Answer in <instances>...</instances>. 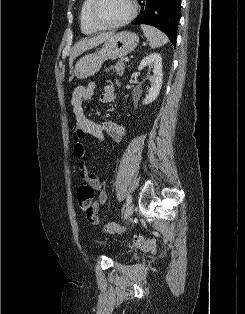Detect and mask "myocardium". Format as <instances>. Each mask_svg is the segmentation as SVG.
Returning <instances> with one entry per match:
<instances>
[{
    "instance_id": "obj_1",
    "label": "myocardium",
    "mask_w": 245,
    "mask_h": 314,
    "mask_svg": "<svg viewBox=\"0 0 245 314\" xmlns=\"http://www.w3.org/2000/svg\"><path fill=\"white\" fill-rule=\"evenodd\" d=\"M129 1L131 5V11L125 18L114 23H105L101 21V19L98 17V14H97V6L99 3V0H93L92 5H91V10H90V14H91V18L93 22L102 29L119 28L130 23L137 15L138 6L136 3V0H129Z\"/></svg>"
}]
</instances>
